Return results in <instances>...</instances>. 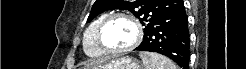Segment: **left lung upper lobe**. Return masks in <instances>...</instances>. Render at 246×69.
I'll return each instance as SVG.
<instances>
[{
  "mask_svg": "<svg viewBox=\"0 0 246 69\" xmlns=\"http://www.w3.org/2000/svg\"><path fill=\"white\" fill-rule=\"evenodd\" d=\"M179 0H96L87 22L111 9L132 12L147 29L161 19Z\"/></svg>",
  "mask_w": 246,
  "mask_h": 69,
  "instance_id": "obj_1",
  "label": "left lung upper lobe"
}]
</instances>
